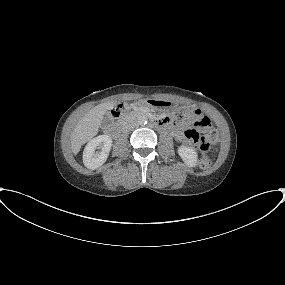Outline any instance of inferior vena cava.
I'll list each match as a JSON object with an SVG mask.
<instances>
[{
  "label": "inferior vena cava",
  "instance_id": "inferior-vena-cava-1",
  "mask_svg": "<svg viewBox=\"0 0 285 285\" xmlns=\"http://www.w3.org/2000/svg\"><path fill=\"white\" fill-rule=\"evenodd\" d=\"M137 123L136 122H132V123H128L127 125L124 126V130L130 131L132 129H134L136 127Z\"/></svg>",
  "mask_w": 285,
  "mask_h": 285
}]
</instances>
